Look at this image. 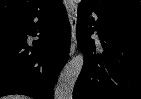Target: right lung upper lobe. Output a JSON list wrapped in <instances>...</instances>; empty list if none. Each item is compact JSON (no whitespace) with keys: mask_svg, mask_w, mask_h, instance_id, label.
I'll return each instance as SVG.
<instances>
[{"mask_svg":"<svg viewBox=\"0 0 141 99\" xmlns=\"http://www.w3.org/2000/svg\"><path fill=\"white\" fill-rule=\"evenodd\" d=\"M59 0H0V20L47 9Z\"/></svg>","mask_w":141,"mask_h":99,"instance_id":"cb5924a9","label":"right lung upper lobe"}]
</instances>
